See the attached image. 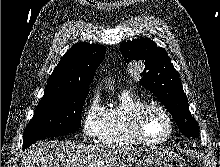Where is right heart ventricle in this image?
Here are the masks:
<instances>
[{
	"label": "right heart ventricle",
	"mask_w": 220,
	"mask_h": 167,
	"mask_svg": "<svg viewBox=\"0 0 220 167\" xmlns=\"http://www.w3.org/2000/svg\"><path fill=\"white\" fill-rule=\"evenodd\" d=\"M146 104L136 94L124 90L118 96V103L106 110L100 142L107 146H132L141 144L131 129L134 111Z\"/></svg>",
	"instance_id": "obj_1"
}]
</instances>
